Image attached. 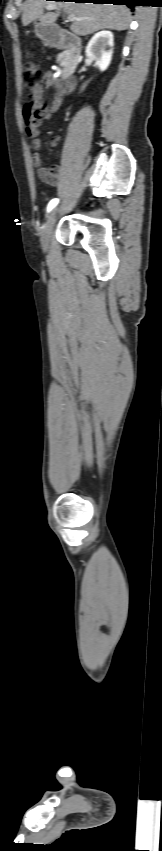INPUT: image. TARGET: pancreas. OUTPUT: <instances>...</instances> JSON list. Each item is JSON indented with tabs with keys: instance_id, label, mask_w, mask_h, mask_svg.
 Wrapping results in <instances>:
<instances>
[{
	"instance_id": "1",
	"label": "pancreas",
	"mask_w": 162,
	"mask_h": 851,
	"mask_svg": "<svg viewBox=\"0 0 162 851\" xmlns=\"http://www.w3.org/2000/svg\"><path fill=\"white\" fill-rule=\"evenodd\" d=\"M57 63H59V65H60L61 67L65 66V64H66V56H65V55H60V56L58 57V59H57Z\"/></svg>"
}]
</instances>
